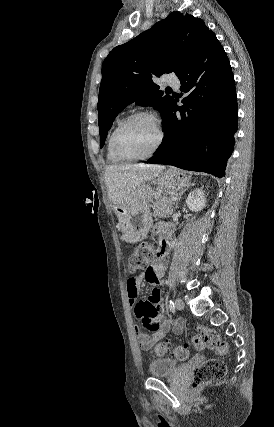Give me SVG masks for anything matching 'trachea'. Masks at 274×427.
Instances as JSON below:
<instances>
[{
	"label": "trachea",
	"instance_id": "3493384b",
	"mask_svg": "<svg viewBox=\"0 0 274 427\" xmlns=\"http://www.w3.org/2000/svg\"><path fill=\"white\" fill-rule=\"evenodd\" d=\"M167 90H172V89L170 87H168Z\"/></svg>",
	"mask_w": 274,
	"mask_h": 427
}]
</instances>
